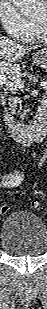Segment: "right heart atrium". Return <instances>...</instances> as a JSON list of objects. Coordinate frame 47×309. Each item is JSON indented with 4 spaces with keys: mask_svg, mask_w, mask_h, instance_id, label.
<instances>
[{
    "mask_svg": "<svg viewBox=\"0 0 47 309\" xmlns=\"http://www.w3.org/2000/svg\"><path fill=\"white\" fill-rule=\"evenodd\" d=\"M0 19L7 34L19 41H26L33 30L12 0H0Z\"/></svg>",
    "mask_w": 47,
    "mask_h": 309,
    "instance_id": "1",
    "label": "right heart atrium"
}]
</instances>
